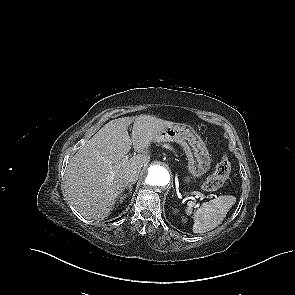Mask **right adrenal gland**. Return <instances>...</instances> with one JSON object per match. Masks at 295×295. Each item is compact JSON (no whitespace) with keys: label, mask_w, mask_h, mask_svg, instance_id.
Masks as SVG:
<instances>
[{"label":"right adrenal gland","mask_w":295,"mask_h":295,"mask_svg":"<svg viewBox=\"0 0 295 295\" xmlns=\"http://www.w3.org/2000/svg\"><path fill=\"white\" fill-rule=\"evenodd\" d=\"M134 184V182H132V183H129L128 185H127V189H128V194H130L131 193V191H132V185Z\"/></svg>","instance_id":"2a0ac1e0"}]
</instances>
